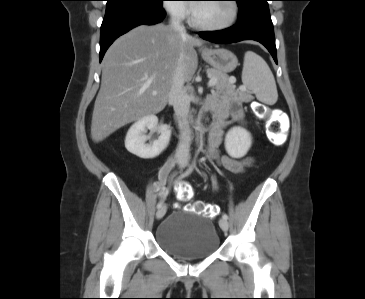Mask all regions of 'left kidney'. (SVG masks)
<instances>
[{"mask_svg": "<svg viewBox=\"0 0 365 299\" xmlns=\"http://www.w3.org/2000/svg\"><path fill=\"white\" fill-rule=\"evenodd\" d=\"M252 144L250 133L241 127L230 129L225 138L227 153L233 158H241L246 155Z\"/></svg>", "mask_w": 365, "mask_h": 299, "instance_id": "obj_1", "label": "left kidney"}]
</instances>
